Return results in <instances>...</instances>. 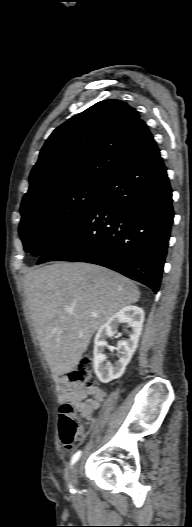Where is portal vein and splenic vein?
<instances>
[{
    "label": "portal vein and splenic vein",
    "mask_w": 192,
    "mask_h": 527,
    "mask_svg": "<svg viewBox=\"0 0 192 527\" xmlns=\"http://www.w3.org/2000/svg\"><path fill=\"white\" fill-rule=\"evenodd\" d=\"M67 312H68V313H72V309H68ZM91 316H92V317H95V316H97V315H96V314H92Z\"/></svg>",
    "instance_id": "portal-vein-and-splenic-vein-1"
}]
</instances>
